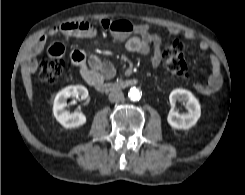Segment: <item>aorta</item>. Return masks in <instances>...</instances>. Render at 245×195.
Returning <instances> with one entry per match:
<instances>
[{"label": "aorta", "instance_id": "aorta-1", "mask_svg": "<svg viewBox=\"0 0 245 195\" xmlns=\"http://www.w3.org/2000/svg\"><path fill=\"white\" fill-rule=\"evenodd\" d=\"M128 97L132 100V101H139L141 98V94L140 91L133 87L129 90L128 92Z\"/></svg>", "mask_w": 245, "mask_h": 195}]
</instances>
